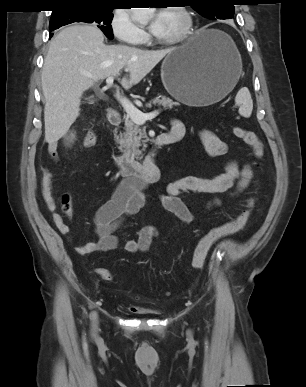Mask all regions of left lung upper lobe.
<instances>
[{"label":"left lung upper lobe","mask_w":306,"mask_h":387,"mask_svg":"<svg viewBox=\"0 0 306 387\" xmlns=\"http://www.w3.org/2000/svg\"><path fill=\"white\" fill-rule=\"evenodd\" d=\"M233 0H189L190 5L202 16L211 19L233 18Z\"/></svg>","instance_id":"obj_1"}]
</instances>
